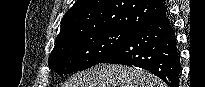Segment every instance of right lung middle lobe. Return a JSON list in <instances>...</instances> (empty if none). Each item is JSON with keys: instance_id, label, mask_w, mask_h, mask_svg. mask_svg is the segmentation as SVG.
Returning a JSON list of instances; mask_svg holds the SVG:
<instances>
[{"instance_id": "dd1d6c3e", "label": "right lung middle lobe", "mask_w": 205, "mask_h": 87, "mask_svg": "<svg viewBox=\"0 0 205 87\" xmlns=\"http://www.w3.org/2000/svg\"><path fill=\"white\" fill-rule=\"evenodd\" d=\"M132 33L133 31L122 29H101L56 42L49 56V68L63 76L99 64Z\"/></svg>"}]
</instances>
